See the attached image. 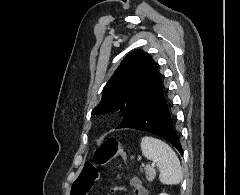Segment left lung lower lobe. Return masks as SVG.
Wrapping results in <instances>:
<instances>
[{
	"mask_svg": "<svg viewBox=\"0 0 240 195\" xmlns=\"http://www.w3.org/2000/svg\"><path fill=\"white\" fill-rule=\"evenodd\" d=\"M122 128L143 130L159 135L175 146L182 154V147L174 129L163 88Z\"/></svg>",
	"mask_w": 240,
	"mask_h": 195,
	"instance_id": "left-lung-lower-lobe-1",
	"label": "left lung lower lobe"
}]
</instances>
